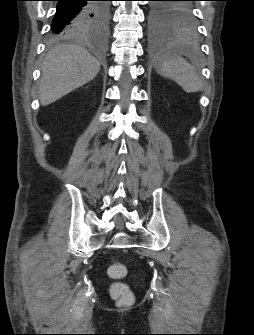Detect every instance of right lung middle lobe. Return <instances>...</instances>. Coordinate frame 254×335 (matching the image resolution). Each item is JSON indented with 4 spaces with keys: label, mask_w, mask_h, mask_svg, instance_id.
<instances>
[{
    "label": "right lung middle lobe",
    "mask_w": 254,
    "mask_h": 335,
    "mask_svg": "<svg viewBox=\"0 0 254 335\" xmlns=\"http://www.w3.org/2000/svg\"><path fill=\"white\" fill-rule=\"evenodd\" d=\"M97 6H98V18L91 25V33L89 35L104 33L107 28V23L109 19V4L107 2H100L98 3ZM77 35H84V34L79 32V30H77L74 33L69 32L58 36L50 35V40L57 41Z\"/></svg>",
    "instance_id": "dd1d6c3e"
}]
</instances>
